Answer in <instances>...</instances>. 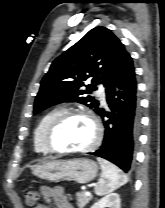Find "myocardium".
I'll return each mask as SVG.
<instances>
[{"label":"myocardium","instance_id":"f54148a6","mask_svg":"<svg viewBox=\"0 0 165 208\" xmlns=\"http://www.w3.org/2000/svg\"><path fill=\"white\" fill-rule=\"evenodd\" d=\"M83 117L86 118L92 125L94 135L92 141L83 148L79 149H61L56 147L52 142V135L54 131L68 118ZM102 138V129L98 119L88 111L85 110H65L57 115L48 125L44 133V143L46 147L53 153L58 154H83L95 149Z\"/></svg>","mask_w":165,"mask_h":208}]
</instances>
